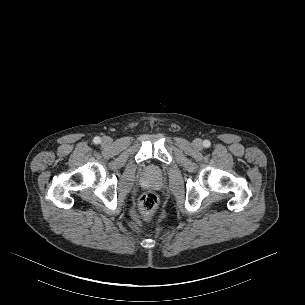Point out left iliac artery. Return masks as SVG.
Masks as SVG:
<instances>
[{
    "instance_id": "left-iliac-artery-1",
    "label": "left iliac artery",
    "mask_w": 305,
    "mask_h": 305,
    "mask_svg": "<svg viewBox=\"0 0 305 305\" xmlns=\"http://www.w3.org/2000/svg\"><path fill=\"white\" fill-rule=\"evenodd\" d=\"M203 145H204V147L209 148L211 143L209 140H204Z\"/></svg>"
}]
</instances>
